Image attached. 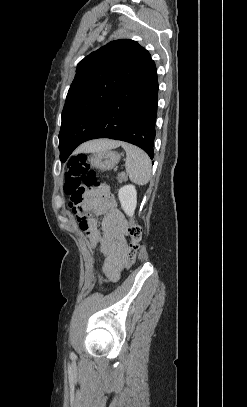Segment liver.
I'll list each match as a JSON object with an SVG mask.
<instances>
[{
	"label": "liver",
	"mask_w": 247,
	"mask_h": 407,
	"mask_svg": "<svg viewBox=\"0 0 247 407\" xmlns=\"http://www.w3.org/2000/svg\"><path fill=\"white\" fill-rule=\"evenodd\" d=\"M121 144L122 143L120 141L107 140V139L90 141V142L83 144L78 149V152H85V153L97 152V151H101V150L113 149V148L119 147Z\"/></svg>",
	"instance_id": "obj_1"
}]
</instances>
